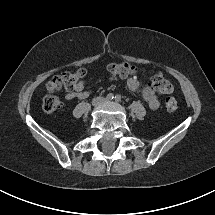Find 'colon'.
<instances>
[{"instance_id":"1","label":"colon","mask_w":215,"mask_h":215,"mask_svg":"<svg viewBox=\"0 0 215 215\" xmlns=\"http://www.w3.org/2000/svg\"><path fill=\"white\" fill-rule=\"evenodd\" d=\"M110 74L121 77H133L137 74V68L130 63H112L107 66ZM85 71L78 69L74 72H65L54 76L46 83V89L49 93H54L62 89L73 90L76 84L83 79ZM150 86L160 93H170L173 90L170 81L161 75H153L150 77ZM61 105V100L52 94H48L43 98L42 108L46 112H53ZM165 107L168 111H175L178 108V102L173 97H168L165 100Z\"/></svg>"}]
</instances>
